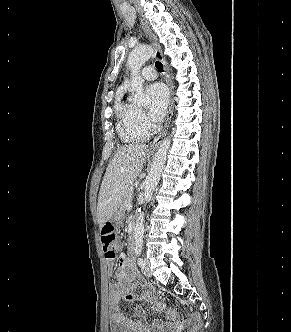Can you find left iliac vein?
<instances>
[{"label":"left iliac vein","mask_w":291,"mask_h":332,"mask_svg":"<svg viewBox=\"0 0 291 332\" xmlns=\"http://www.w3.org/2000/svg\"><path fill=\"white\" fill-rule=\"evenodd\" d=\"M142 272L146 277L151 276V271H150V262L148 259L144 260V266L142 267Z\"/></svg>","instance_id":"obj_1"}]
</instances>
